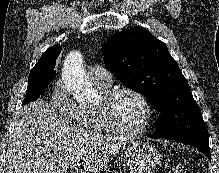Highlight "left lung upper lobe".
Segmentation results:
<instances>
[{
    "label": "left lung upper lobe",
    "instance_id": "left-lung-upper-lobe-1",
    "mask_svg": "<svg viewBox=\"0 0 219 173\" xmlns=\"http://www.w3.org/2000/svg\"><path fill=\"white\" fill-rule=\"evenodd\" d=\"M102 52L106 68L161 112L153 137L208 138L186 78L162 41L146 30L133 28L112 35Z\"/></svg>",
    "mask_w": 219,
    "mask_h": 173
}]
</instances>
